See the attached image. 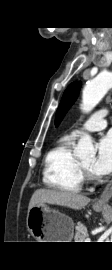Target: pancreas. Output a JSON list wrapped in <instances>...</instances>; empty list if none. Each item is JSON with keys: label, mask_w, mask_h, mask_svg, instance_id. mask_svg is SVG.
Instances as JSON below:
<instances>
[{"label": "pancreas", "mask_w": 112, "mask_h": 270, "mask_svg": "<svg viewBox=\"0 0 112 270\" xmlns=\"http://www.w3.org/2000/svg\"><path fill=\"white\" fill-rule=\"evenodd\" d=\"M88 238V232L85 225L82 223H78L76 226V232H75V242H85V240Z\"/></svg>", "instance_id": "obj_1"}]
</instances>
